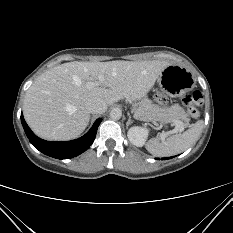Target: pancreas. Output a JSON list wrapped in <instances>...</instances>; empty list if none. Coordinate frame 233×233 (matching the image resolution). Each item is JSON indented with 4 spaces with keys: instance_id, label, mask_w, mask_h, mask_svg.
Here are the masks:
<instances>
[{
    "instance_id": "1",
    "label": "pancreas",
    "mask_w": 233,
    "mask_h": 233,
    "mask_svg": "<svg viewBox=\"0 0 233 233\" xmlns=\"http://www.w3.org/2000/svg\"><path fill=\"white\" fill-rule=\"evenodd\" d=\"M132 112L134 113L135 117L139 120H158L154 107L147 100H143L139 103H134L132 105ZM171 120H178V117L174 116L171 118Z\"/></svg>"
}]
</instances>
